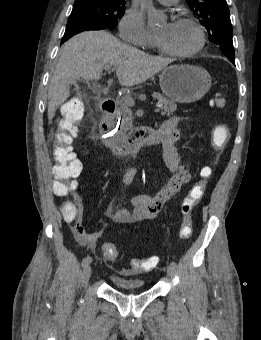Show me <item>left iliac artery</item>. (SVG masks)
Segmentation results:
<instances>
[{"mask_svg": "<svg viewBox=\"0 0 261 340\" xmlns=\"http://www.w3.org/2000/svg\"><path fill=\"white\" fill-rule=\"evenodd\" d=\"M170 266L176 268L177 267V263L175 261H171L170 262Z\"/></svg>", "mask_w": 261, "mask_h": 340, "instance_id": "1", "label": "left iliac artery"}]
</instances>
